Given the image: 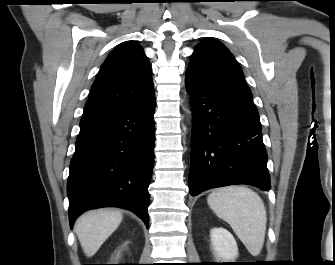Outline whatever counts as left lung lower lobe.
Instances as JSON below:
<instances>
[{
  "mask_svg": "<svg viewBox=\"0 0 335 265\" xmlns=\"http://www.w3.org/2000/svg\"><path fill=\"white\" fill-rule=\"evenodd\" d=\"M185 85L193 112L190 195L234 184L268 191L267 153L252 99L215 86L189 70Z\"/></svg>",
  "mask_w": 335,
  "mask_h": 265,
  "instance_id": "1",
  "label": "left lung lower lobe"
}]
</instances>
